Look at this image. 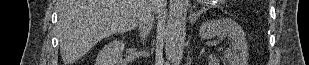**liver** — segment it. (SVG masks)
I'll return each mask as SVG.
<instances>
[{
	"label": "liver",
	"instance_id": "obj_1",
	"mask_svg": "<svg viewBox=\"0 0 309 65\" xmlns=\"http://www.w3.org/2000/svg\"><path fill=\"white\" fill-rule=\"evenodd\" d=\"M149 5L150 0H57L64 64L71 65L105 37L136 29Z\"/></svg>",
	"mask_w": 309,
	"mask_h": 65
}]
</instances>
